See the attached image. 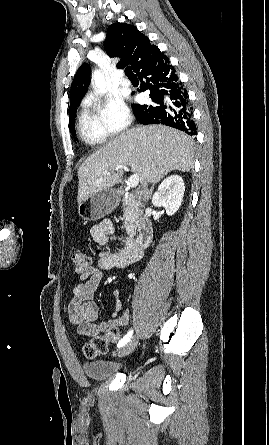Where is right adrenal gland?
I'll return each instance as SVG.
<instances>
[{
  "label": "right adrenal gland",
  "mask_w": 269,
  "mask_h": 445,
  "mask_svg": "<svg viewBox=\"0 0 269 445\" xmlns=\"http://www.w3.org/2000/svg\"><path fill=\"white\" fill-rule=\"evenodd\" d=\"M154 186H155V183H153V185H152V187H151V189H150V192H149V196H151V195H152V192H153Z\"/></svg>",
  "instance_id": "2a0ac1e0"
}]
</instances>
